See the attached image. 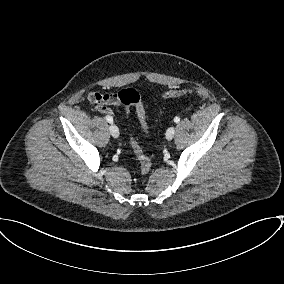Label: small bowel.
<instances>
[{
    "label": "small bowel",
    "instance_id": "obj_1",
    "mask_svg": "<svg viewBox=\"0 0 284 284\" xmlns=\"http://www.w3.org/2000/svg\"><path fill=\"white\" fill-rule=\"evenodd\" d=\"M87 100L93 105L95 111L108 114V116L113 114L110 106H122L118 94L90 92L87 95Z\"/></svg>",
    "mask_w": 284,
    "mask_h": 284
}]
</instances>
